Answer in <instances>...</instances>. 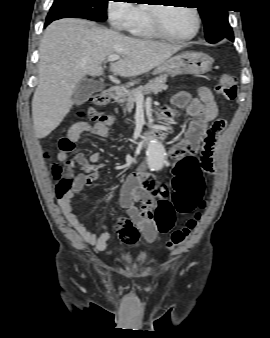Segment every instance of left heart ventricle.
<instances>
[{
  "mask_svg": "<svg viewBox=\"0 0 270 338\" xmlns=\"http://www.w3.org/2000/svg\"><path fill=\"white\" fill-rule=\"evenodd\" d=\"M162 25L174 36H188L195 30L196 17L188 7L170 6L160 10Z\"/></svg>",
  "mask_w": 270,
  "mask_h": 338,
  "instance_id": "1",
  "label": "left heart ventricle"
}]
</instances>
